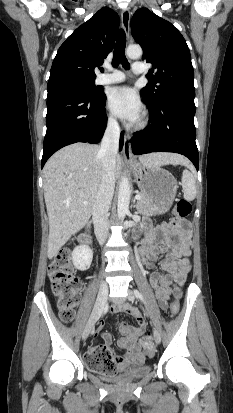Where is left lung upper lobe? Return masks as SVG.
<instances>
[{"instance_id":"5c2ea615","label":"left lung upper lobe","mask_w":233,"mask_h":413,"mask_svg":"<svg viewBox=\"0 0 233 413\" xmlns=\"http://www.w3.org/2000/svg\"><path fill=\"white\" fill-rule=\"evenodd\" d=\"M131 31L143 48V59L152 64L148 73L152 78L141 90L145 103L157 105L161 100L181 99L194 104L193 66L181 33L147 8L135 12Z\"/></svg>"}]
</instances>
